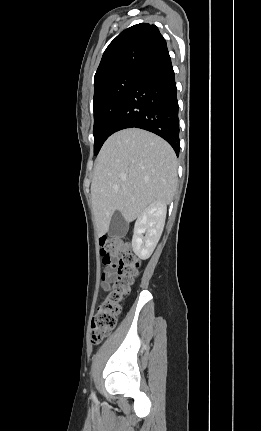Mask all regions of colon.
Here are the masks:
<instances>
[{
    "mask_svg": "<svg viewBox=\"0 0 261 431\" xmlns=\"http://www.w3.org/2000/svg\"><path fill=\"white\" fill-rule=\"evenodd\" d=\"M100 251L104 265L114 268L115 278L105 299L91 322V340L101 342L115 327L124 297L138 275L140 260L134 255L129 241L120 237H102ZM114 259H118L114 262Z\"/></svg>",
    "mask_w": 261,
    "mask_h": 431,
    "instance_id": "obj_1",
    "label": "colon"
}]
</instances>
